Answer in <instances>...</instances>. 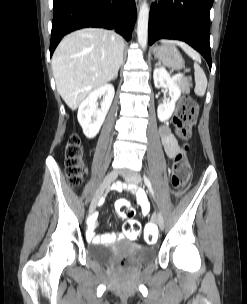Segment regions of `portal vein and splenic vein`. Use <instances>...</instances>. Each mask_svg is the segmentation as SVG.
<instances>
[{
	"label": "portal vein and splenic vein",
	"instance_id": "obj_1",
	"mask_svg": "<svg viewBox=\"0 0 247 304\" xmlns=\"http://www.w3.org/2000/svg\"><path fill=\"white\" fill-rule=\"evenodd\" d=\"M182 77H183V74H182V73H179V74L175 75L173 78H174L175 80H179V79L182 78Z\"/></svg>",
	"mask_w": 247,
	"mask_h": 304
}]
</instances>
